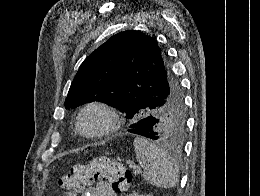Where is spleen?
I'll return each mask as SVG.
<instances>
[{
  "label": "spleen",
  "instance_id": "3e777b00",
  "mask_svg": "<svg viewBox=\"0 0 260 196\" xmlns=\"http://www.w3.org/2000/svg\"><path fill=\"white\" fill-rule=\"evenodd\" d=\"M136 160L145 170L143 176L145 182L158 186V188H173L178 182V168L175 160L168 156L167 152L151 144L145 138H134L133 142Z\"/></svg>",
  "mask_w": 260,
  "mask_h": 196
}]
</instances>
